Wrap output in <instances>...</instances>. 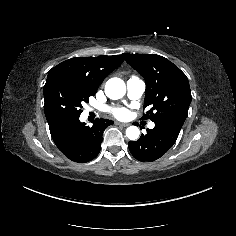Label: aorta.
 Wrapping results in <instances>:
<instances>
[{
	"label": "aorta",
	"mask_w": 236,
	"mask_h": 236,
	"mask_svg": "<svg viewBox=\"0 0 236 236\" xmlns=\"http://www.w3.org/2000/svg\"><path fill=\"white\" fill-rule=\"evenodd\" d=\"M126 92L125 83L119 78H111L105 86V93L110 99L121 98ZM140 135V130L137 126H129L126 129V136L130 140H136Z\"/></svg>",
	"instance_id": "1"
}]
</instances>
